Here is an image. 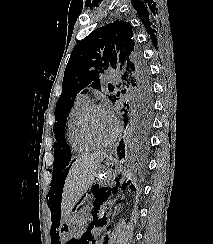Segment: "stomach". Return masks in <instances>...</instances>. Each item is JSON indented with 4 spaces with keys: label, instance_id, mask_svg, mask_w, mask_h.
<instances>
[{
    "label": "stomach",
    "instance_id": "stomach-1",
    "mask_svg": "<svg viewBox=\"0 0 213 244\" xmlns=\"http://www.w3.org/2000/svg\"><path fill=\"white\" fill-rule=\"evenodd\" d=\"M117 170L118 169L114 158L112 155L107 154V156L103 159V163L100 166V169L97 171L94 177V181L88 192L91 191L93 186H103L113 182L117 174ZM79 202L72 208L68 217L65 218L60 226V236L63 238L72 237L74 234L81 231L82 216L79 209Z\"/></svg>",
    "mask_w": 213,
    "mask_h": 244
}]
</instances>
